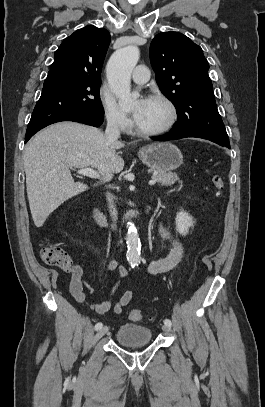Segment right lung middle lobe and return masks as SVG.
<instances>
[{
  "instance_id": "1",
  "label": "right lung middle lobe",
  "mask_w": 265,
  "mask_h": 407,
  "mask_svg": "<svg viewBox=\"0 0 265 407\" xmlns=\"http://www.w3.org/2000/svg\"><path fill=\"white\" fill-rule=\"evenodd\" d=\"M101 80H89L66 75L47 77L41 97L32 113L27 132H32L55 120L78 113L103 115L100 101Z\"/></svg>"
}]
</instances>
